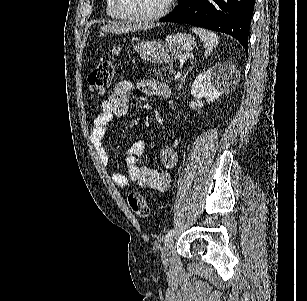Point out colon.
Masks as SVG:
<instances>
[{"label":"colon","instance_id":"obj_1","mask_svg":"<svg viewBox=\"0 0 307 301\" xmlns=\"http://www.w3.org/2000/svg\"><path fill=\"white\" fill-rule=\"evenodd\" d=\"M116 54H118V50L114 49L112 55ZM113 76L114 66L112 60H104L90 72L88 86L93 92L102 95L108 90ZM128 203L133 212L138 216L146 217L149 215L150 209L148 203L141 193L131 192L128 195Z\"/></svg>","mask_w":307,"mask_h":301}]
</instances>
